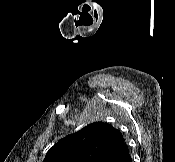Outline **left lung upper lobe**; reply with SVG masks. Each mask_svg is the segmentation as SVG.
I'll use <instances>...</instances> for the list:
<instances>
[{
    "mask_svg": "<svg viewBox=\"0 0 175 162\" xmlns=\"http://www.w3.org/2000/svg\"><path fill=\"white\" fill-rule=\"evenodd\" d=\"M123 141L122 133L108 123H91L60 139L48 150L43 162H105Z\"/></svg>",
    "mask_w": 175,
    "mask_h": 162,
    "instance_id": "obj_1",
    "label": "left lung upper lobe"
}]
</instances>
